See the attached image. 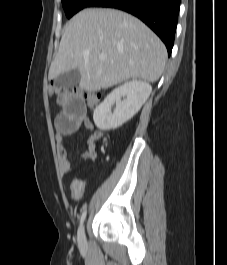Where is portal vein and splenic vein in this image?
<instances>
[{
  "label": "portal vein and splenic vein",
  "instance_id": "1",
  "mask_svg": "<svg viewBox=\"0 0 227 265\" xmlns=\"http://www.w3.org/2000/svg\"><path fill=\"white\" fill-rule=\"evenodd\" d=\"M106 58H107V55L104 54V53H102V54L99 55V59H101V60H104Z\"/></svg>",
  "mask_w": 227,
  "mask_h": 265
}]
</instances>
